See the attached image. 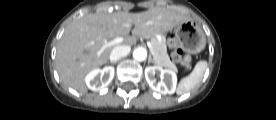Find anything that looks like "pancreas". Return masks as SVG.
I'll list each match as a JSON object with an SVG mask.
<instances>
[{"mask_svg":"<svg viewBox=\"0 0 276 120\" xmlns=\"http://www.w3.org/2000/svg\"><path fill=\"white\" fill-rule=\"evenodd\" d=\"M152 45V52L151 54L154 57L155 63L159 66L166 67L173 72H177L176 65L170 60L167 54V47L166 43L162 41H158L157 39L153 38L151 40Z\"/></svg>","mask_w":276,"mask_h":120,"instance_id":"cf45deb5","label":"pancreas"}]
</instances>
